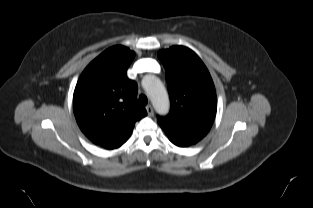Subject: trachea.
I'll return each mask as SVG.
<instances>
[{
	"label": "trachea",
	"mask_w": 313,
	"mask_h": 208,
	"mask_svg": "<svg viewBox=\"0 0 313 208\" xmlns=\"http://www.w3.org/2000/svg\"><path fill=\"white\" fill-rule=\"evenodd\" d=\"M139 102L142 106H146L148 103V99L145 95H140L139 96Z\"/></svg>",
	"instance_id": "3493384b"
}]
</instances>
